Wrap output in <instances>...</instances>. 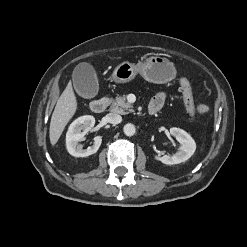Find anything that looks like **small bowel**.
Listing matches in <instances>:
<instances>
[{"instance_id": "1", "label": "small bowel", "mask_w": 247, "mask_h": 247, "mask_svg": "<svg viewBox=\"0 0 247 247\" xmlns=\"http://www.w3.org/2000/svg\"><path fill=\"white\" fill-rule=\"evenodd\" d=\"M166 99H167V94L165 92H159L152 98L149 108L157 113L164 106ZM197 108L199 110V113H205L208 109L207 106L204 104L198 105Z\"/></svg>"}]
</instances>
